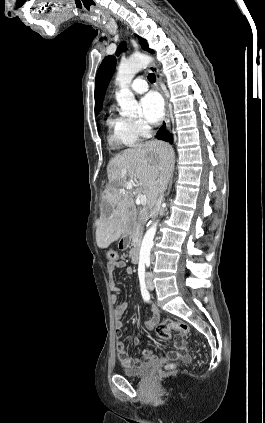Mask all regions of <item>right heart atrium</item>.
<instances>
[{"mask_svg":"<svg viewBox=\"0 0 265 423\" xmlns=\"http://www.w3.org/2000/svg\"><path fill=\"white\" fill-rule=\"evenodd\" d=\"M131 125L138 138L147 137L151 132V127L142 120H131Z\"/></svg>","mask_w":265,"mask_h":423,"instance_id":"right-heart-atrium-1","label":"right heart atrium"}]
</instances>
